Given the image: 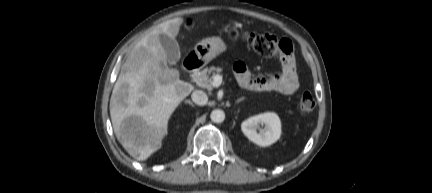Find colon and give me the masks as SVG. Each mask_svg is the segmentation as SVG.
<instances>
[{
	"mask_svg": "<svg viewBox=\"0 0 432 193\" xmlns=\"http://www.w3.org/2000/svg\"><path fill=\"white\" fill-rule=\"evenodd\" d=\"M243 40L248 44L256 53L264 57L275 56H291L292 44L287 39H280L271 33H255L245 32ZM316 101L310 92H305L301 95L298 108L303 113H308L314 110Z\"/></svg>",
	"mask_w": 432,
	"mask_h": 193,
	"instance_id": "obj_1",
	"label": "colon"
}]
</instances>
